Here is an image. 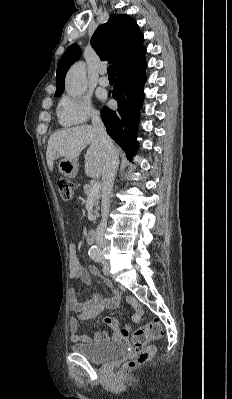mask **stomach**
I'll return each mask as SVG.
<instances>
[{"label":"stomach","mask_w":232,"mask_h":399,"mask_svg":"<svg viewBox=\"0 0 232 399\" xmlns=\"http://www.w3.org/2000/svg\"><path fill=\"white\" fill-rule=\"evenodd\" d=\"M78 168V160H67V158H63V160H59L58 162V170L65 178H75Z\"/></svg>","instance_id":"obj_1"}]
</instances>
